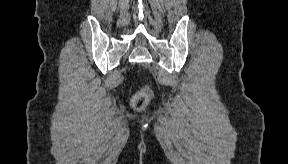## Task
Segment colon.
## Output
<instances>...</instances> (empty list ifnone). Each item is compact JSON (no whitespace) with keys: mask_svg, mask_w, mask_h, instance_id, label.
Returning <instances> with one entry per match:
<instances>
[{"mask_svg":"<svg viewBox=\"0 0 288 164\" xmlns=\"http://www.w3.org/2000/svg\"><path fill=\"white\" fill-rule=\"evenodd\" d=\"M152 93L147 86H142L132 98V107L136 111H143L151 99Z\"/></svg>","mask_w":288,"mask_h":164,"instance_id":"1","label":"colon"}]
</instances>
